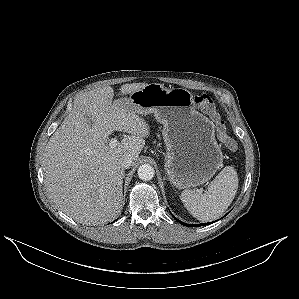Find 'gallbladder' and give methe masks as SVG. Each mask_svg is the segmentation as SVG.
<instances>
[{"mask_svg":"<svg viewBox=\"0 0 299 299\" xmlns=\"http://www.w3.org/2000/svg\"><path fill=\"white\" fill-rule=\"evenodd\" d=\"M87 118V121L89 124H92L93 122L91 121L90 117H86Z\"/></svg>","mask_w":299,"mask_h":299,"instance_id":"bac80fb5","label":"gallbladder"}]
</instances>
